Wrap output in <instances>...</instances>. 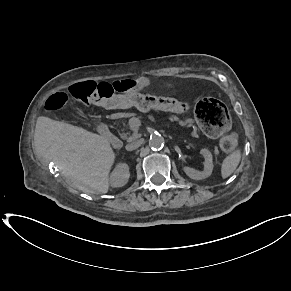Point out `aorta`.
<instances>
[{"instance_id": "1", "label": "aorta", "mask_w": 291, "mask_h": 291, "mask_svg": "<svg viewBox=\"0 0 291 291\" xmlns=\"http://www.w3.org/2000/svg\"><path fill=\"white\" fill-rule=\"evenodd\" d=\"M165 140L161 135H153L149 140V146L153 150H160L164 147Z\"/></svg>"}]
</instances>
